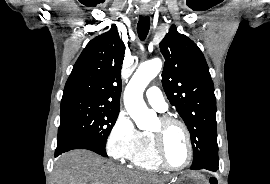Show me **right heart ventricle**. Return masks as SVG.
<instances>
[{"label": "right heart ventricle", "instance_id": "1", "mask_svg": "<svg viewBox=\"0 0 270 184\" xmlns=\"http://www.w3.org/2000/svg\"><path fill=\"white\" fill-rule=\"evenodd\" d=\"M128 160L132 166L139 169L158 171L163 168L156 157L153 140L149 132L141 133L138 146Z\"/></svg>", "mask_w": 270, "mask_h": 184}]
</instances>
